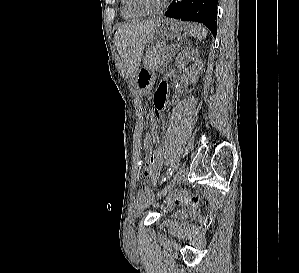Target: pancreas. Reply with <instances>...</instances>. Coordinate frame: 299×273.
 Returning a JSON list of instances; mask_svg holds the SVG:
<instances>
[{
  "instance_id": "1",
  "label": "pancreas",
  "mask_w": 299,
  "mask_h": 273,
  "mask_svg": "<svg viewBox=\"0 0 299 273\" xmlns=\"http://www.w3.org/2000/svg\"><path fill=\"white\" fill-rule=\"evenodd\" d=\"M173 49V45L162 46L156 45L151 48L144 59V65L149 70H157L163 63L169 61V53Z\"/></svg>"
}]
</instances>
